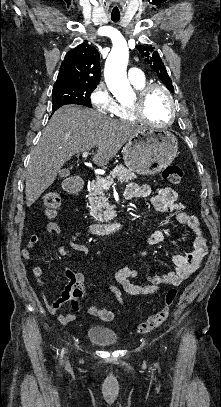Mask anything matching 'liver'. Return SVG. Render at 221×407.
<instances>
[{
    "instance_id": "obj_1",
    "label": "liver",
    "mask_w": 221,
    "mask_h": 407,
    "mask_svg": "<svg viewBox=\"0 0 221 407\" xmlns=\"http://www.w3.org/2000/svg\"><path fill=\"white\" fill-rule=\"evenodd\" d=\"M141 130L89 108L66 105L56 110L31 153L25 183L27 206L54 183L73 155L96 147L93 161L103 167Z\"/></svg>"
}]
</instances>
